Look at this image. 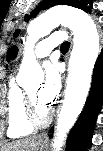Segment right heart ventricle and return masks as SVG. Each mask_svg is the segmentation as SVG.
Listing matches in <instances>:
<instances>
[{"label": "right heart ventricle", "mask_w": 103, "mask_h": 151, "mask_svg": "<svg viewBox=\"0 0 103 151\" xmlns=\"http://www.w3.org/2000/svg\"><path fill=\"white\" fill-rule=\"evenodd\" d=\"M8 130L10 138H21L33 133L25 115L24 90L16 83L12 76L8 83L7 92Z\"/></svg>", "instance_id": "1"}]
</instances>
